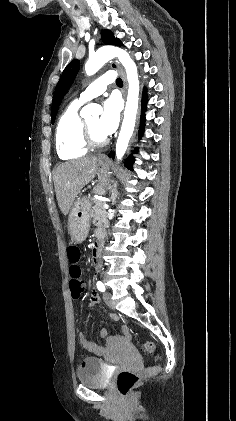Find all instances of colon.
<instances>
[{
    "instance_id": "colon-1",
    "label": "colon",
    "mask_w": 236,
    "mask_h": 421,
    "mask_svg": "<svg viewBox=\"0 0 236 421\" xmlns=\"http://www.w3.org/2000/svg\"><path fill=\"white\" fill-rule=\"evenodd\" d=\"M68 258L71 263L69 273V287L73 298L77 299L81 296L84 290V281L82 279V271L78 266V262L81 258L80 249L76 245H71L68 248ZM155 350V344L153 342H146L142 346V352L144 354H152ZM159 372V367L152 366L148 367L143 371H121L116 379L117 388L122 396L126 397L130 392L137 387L140 381L151 375H155Z\"/></svg>"
}]
</instances>
